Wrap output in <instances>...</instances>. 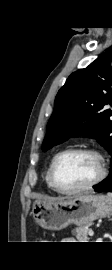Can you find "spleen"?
<instances>
[{"instance_id": "spleen-1", "label": "spleen", "mask_w": 112, "mask_h": 270, "mask_svg": "<svg viewBox=\"0 0 112 270\" xmlns=\"http://www.w3.org/2000/svg\"><path fill=\"white\" fill-rule=\"evenodd\" d=\"M107 196L112 199V193H108Z\"/></svg>"}]
</instances>
